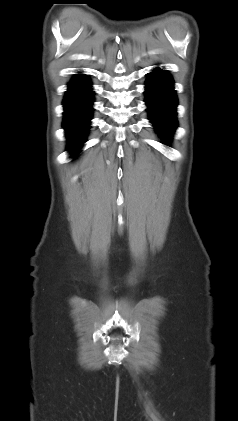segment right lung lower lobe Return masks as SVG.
<instances>
[{"label": "right lung lower lobe", "instance_id": "1", "mask_svg": "<svg viewBox=\"0 0 238 421\" xmlns=\"http://www.w3.org/2000/svg\"><path fill=\"white\" fill-rule=\"evenodd\" d=\"M93 91L90 90L89 79L76 75L69 83L63 105V127L68 138V149L76 150L85 141L88 126L92 116Z\"/></svg>", "mask_w": 238, "mask_h": 421}]
</instances>
